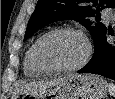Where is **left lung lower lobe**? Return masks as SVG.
<instances>
[{
	"instance_id": "left-lung-lower-lobe-1",
	"label": "left lung lower lobe",
	"mask_w": 115,
	"mask_h": 99,
	"mask_svg": "<svg viewBox=\"0 0 115 99\" xmlns=\"http://www.w3.org/2000/svg\"><path fill=\"white\" fill-rule=\"evenodd\" d=\"M113 32L106 29L94 48L91 60L78 73H93L115 80V42H107L106 35Z\"/></svg>"
}]
</instances>
